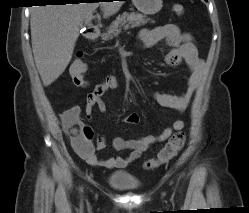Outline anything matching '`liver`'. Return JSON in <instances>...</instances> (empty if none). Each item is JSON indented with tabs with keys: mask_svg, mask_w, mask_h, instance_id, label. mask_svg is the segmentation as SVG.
<instances>
[{
	"mask_svg": "<svg viewBox=\"0 0 249 213\" xmlns=\"http://www.w3.org/2000/svg\"><path fill=\"white\" fill-rule=\"evenodd\" d=\"M121 1L33 6L31 43L35 64L44 86L51 85L71 61L79 28L101 5L105 16L115 14Z\"/></svg>",
	"mask_w": 249,
	"mask_h": 213,
	"instance_id": "liver-1",
	"label": "liver"
}]
</instances>
